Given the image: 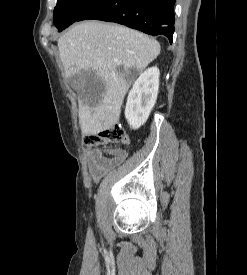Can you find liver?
Listing matches in <instances>:
<instances>
[{"instance_id":"obj_1","label":"liver","mask_w":247,"mask_h":275,"mask_svg":"<svg viewBox=\"0 0 247 275\" xmlns=\"http://www.w3.org/2000/svg\"><path fill=\"white\" fill-rule=\"evenodd\" d=\"M58 49L67 78L81 71L93 72L105 85L103 93L79 100V124L85 135H96L118 123L131 84L125 73L143 70L160 54L155 39L99 21L71 28L58 39Z\"/></svg>"}]
</instances>
